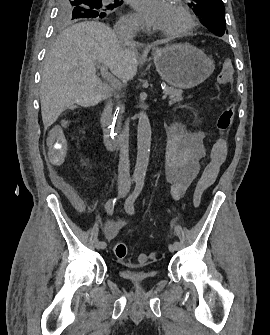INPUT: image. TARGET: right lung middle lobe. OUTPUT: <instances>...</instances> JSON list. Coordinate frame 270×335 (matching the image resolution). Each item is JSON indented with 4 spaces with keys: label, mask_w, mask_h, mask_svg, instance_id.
Here are the masks:
<instances>
[{
    "label": "right lung middle lobe",
    "mask_w": 270,
    "mask_h": 335,
    "mask_svg": "<svg viewBox=\"0 0 270 335\" xmlns=\"http://www.w3.org/2000/svg\"><path fill=\"white\" fill-rule=\"evenodd\" d=\"M122 1L114 0L102 3V0H59L57 23L66 25L82 21L84 18L102 19L109 15V11L120 6Z\"/></svg>",
    "instance_id": "dd1d6c3e"
}]
</instances>
